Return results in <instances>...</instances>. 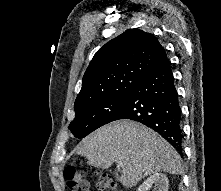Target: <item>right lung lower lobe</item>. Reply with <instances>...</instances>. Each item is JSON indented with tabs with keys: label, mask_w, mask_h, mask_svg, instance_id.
Wrapping results in <instances>:
<instances>
[{
	"label": "right lung lower lobe",
	"mask_w": 221,
	"mask_h": 191,
	"mask_svg": "<svg viewBox=\"0 0 221 191\" xmlns=\"http://www.w3.org/2000/svg\"><path fill=\"white\" fill-rule=\"evenodd\" d=\"M120 119L152 128L182 154L181 108L168 59L131 91L116 118Z\"/></svg>",
	"instance_id": "98d812e1"
}]
</instances>
